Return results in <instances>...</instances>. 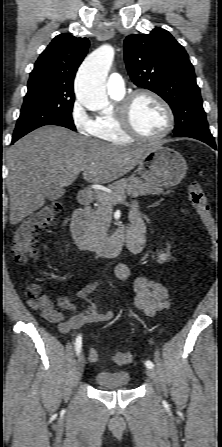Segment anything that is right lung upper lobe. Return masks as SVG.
<instances>
[{
  "instance_id": "right-lung-upper-lobe-1",
  "label": "right lung upper lobe",
  "mask_w": 222,
  "mask_h": 447,
  "mask_svg": "<svg viewBox=\"0 0 222 447\" xmlns=\"http://www.w3.org/2000/svg\"><path fill=\"white\" fill-rule=\"evenodd\" d=\"M88 47L87 38H77L68 33L56 36L36 61L28 88L47 85L57 92L74 95V77Z\"/></svg>"
}]
</instances>
